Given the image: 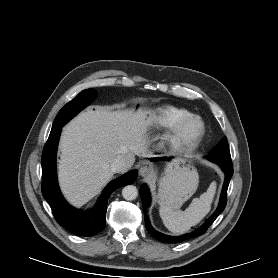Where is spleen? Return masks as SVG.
<instances>
[{
    "label": "spleen",
    "instance_id": "obj_1",
    "mask_svg": "<svg viewBox=\"0 0 278 278\" xmlns=\"http://www.w3.org/2000/svg\"><path fill=\"white\" fill-rule=\"evenodd\" d=\"M216 191V183L212 182L199 198H194L185 211L173 210L168 206L161 205L160 217L164 225L173 233L183 234L192 226L198 224L210 211Z\"/></svg>",
    "mask_w": 278,
    "mask_h": 278
}]
</instances>
